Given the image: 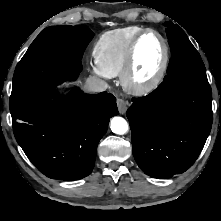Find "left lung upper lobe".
I'll list each match as a JSON object with an SVG mask.
<instances>
[{"label": "left lung upper lobe", "instance_id": "left-lung-upper-lobe-1", "mask_svg": "<svg viewBox=\"0 0 221 221\" xmlns=\"http://www.w3.org/2000/svg\"><path fill=\"white\" fill-rule=\"evenodd\" d=\"M164 25L167 26L166 33L172 52L167 75L164 79L175 76L207 79L203 61L186 33L178 25H174L171 22H167Z\"/></svg>", "mask_w": 221, "mask_h": 221}]
</instances>
